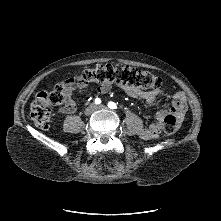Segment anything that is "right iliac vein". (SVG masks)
I'll use <instances>...</instances> for the list:
<instances>
[{"instance_id":"1","label":"right iliac vein","mask_w":221,"mask_h":221,"mask_svg":"<svg viewBox=\"0 0 221 221\" xmlns=\"http://www.w3.org/2000/svg\"><path fill=\"white\" fill-rule=\"evenodd\" d=\"M94 111H95V106H94V105H90V107H88V108L85 110V115H86V116H89V115H91Z\"/></svg>"}]
</instances>
